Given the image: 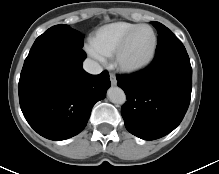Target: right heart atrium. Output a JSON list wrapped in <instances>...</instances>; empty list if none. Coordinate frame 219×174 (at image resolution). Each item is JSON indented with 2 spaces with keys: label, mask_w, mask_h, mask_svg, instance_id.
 <instances>
[{
  "label": "right heart atrium",
  "mask_w": 219,
  "mask_h": 174,
  "mask_svg": "<svg viewBox=\"0 0 219 174\" xmlns=\"http://www.w3.org/2000/svg\"><path fill=\"white\" fill-rule=\"evenodd\" d=\"M84 49L87 52V54L90 55L95 60H98V61L104 60V56L91 44H86Z\"/></svg>",
  "instance_id": "d8ad5b80"
}]
</instances>
